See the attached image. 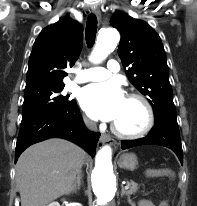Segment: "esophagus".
Instances as JSON below:
<instances>
[{"mask_svg": "<svg viewBox=\"0 0 197 206\" xmlns=\"http://www.w3.org/2000/svg\"><path fill=\"white\" fill-rule=\"evenodd\" d=\"M93 14L97 17L98 20L101 19V12L97 6L92 8ZM100 145H109L112 149H117V142L107 134H101L100 136Z\"/></svg>", "mask_w": 197, "mask_h": 206, "instance_id": "esophagus-1", "label": "esophagus"}]
</instances>
